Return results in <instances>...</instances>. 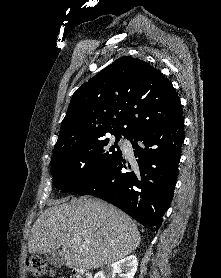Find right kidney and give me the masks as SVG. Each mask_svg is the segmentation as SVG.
<instances>
[{"label": "right kidney", "instance_id": "right-kidney-1", "mask_svg": "<svg viewBox=\"0 0 221 278\" xmlns=\"http://www.w3.org/2000/svg\"><path fill=\"white\" fill-rule=\"evenodd\" d=\"M137 265L136 256L130 255L102 268L94 278H114L116 273L119 274L120 278H133L137 271Z\"/></svg>", "mask_w": 221, "mask_h": 278}]
</instances>
